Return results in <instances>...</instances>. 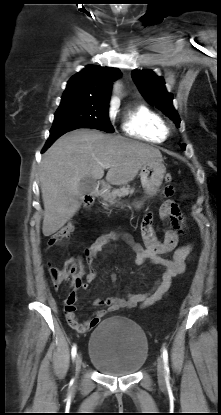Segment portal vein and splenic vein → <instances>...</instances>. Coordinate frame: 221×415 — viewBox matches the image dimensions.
<instances>
[{
	"instance_id": "18ae733b",
	"label": "portal vein and splenic vein",
	"mask_w": 221,
	"mask_h": 415,
	"mask_svg": "<svg viewBox=\"0 0 221 415\" xmlns=\"http://www.w3.org/2000/svg\"><path fill=\"white\" fill-rule=\"evenodd\" d=\"M104 168H109L110 167V164H108V163H104V164H101Z\"/></svg>"
}]
</instances>
